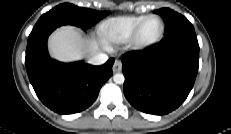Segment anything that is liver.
<instances>
[{"label": "liver", "mask_w": 231, "mask_h": 134, "mask_svg": "<svg viewBox=\"0 0 231 134\" xmlns=\"http://www.w3.org/2000/svg\"><path fill=\"white\" fill-rule=\"evenodd\" d=\"M51 55L63 62L77 61L88 54L94 55L99 51L97 41L84 38L72 26H63L57 29L49 38Z\"/></svg>", "instance_id": "6515ba94"}]
</instances>
